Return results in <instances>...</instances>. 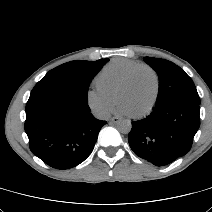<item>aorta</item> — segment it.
I'll list each match as a JSON object with an SVG mask.
<instances>
[{"mask_svg":"<svg viewBox=\"0 0 212 212\" xmlns=\"http://www.w3.org/2000/svg\"><path fill=\"white\" fill-rule=\"evenodd\" d=\"M131 128H132V124L130 120H122L118 124V130L119 132L123 134L129 133L131 131Z\"/></svg>","mask_w":212,"mask_h":212,"instance_id":"1","label":"aorta"}]
</instances>
